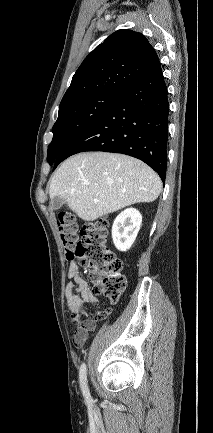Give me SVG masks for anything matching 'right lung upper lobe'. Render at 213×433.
Masks as SVG:
<instances>
[{
    "mask_svg": "<svg viewBox=\"0 0 213 433\" xmlns=\"http://www.w3.org/2000/svg\"><path fill=\"white\" fill-rule=\"evenodd\" d=\"M158 61L156 51L141 33L118 30L85 58L60 106L103 92L122 94Z\"/></svg>",
    "mask_w": 213,
    "mask_h": 433,
    "instance_id": "cb5924a9",
    "label": "right lung upper lobe"
}]
</instances>
